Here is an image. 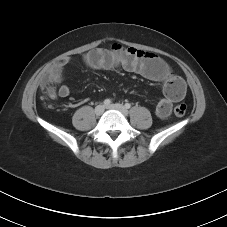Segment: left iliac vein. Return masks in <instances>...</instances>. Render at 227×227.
I'll use <instances>...</instances> for the list:
<instances>
[{
	"label": "left iliac vein",
	"instance_id": "obj_1",
	"mask_svg": "<svg viewBox=\"0 0 227 227\" xmlns=\"http://www.w3.org/2000/svg\"><path fill=\"white\" fill-rule=\"evenodd\" d=\"M107 108L108 109H112V110H117V111H119L124 116H127V114H128L127 109L123 105L118 104V103L111 104Z\"/></svg>",
	"mask_w": 227,
	"mask_h": 227
}]
</instances>
